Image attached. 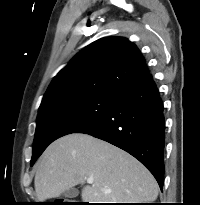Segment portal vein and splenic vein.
<instances>
[{"label": "portal vein and splenic vein", "mask_w": 200, "mask_h": 205, "mask_svg": "<svg viewBox=\"0 0 200 205\" xmlns=\"http://www.w3.org/2000/svg\"><path fill=\"white\" fill-rule=\"evenodd\" d=\"M87 183L88 184H92L93 183V179H91V178L87 179Z\"/></svg>", "instance_id": "obj_1"}]
</instances>
